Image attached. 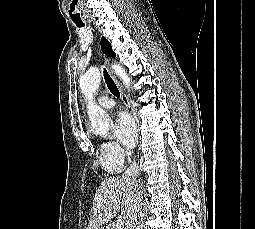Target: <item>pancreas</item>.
I'll return each instance as SVG.
<instances>
[{
	"mask_svg": "<svg viewBox=\"0 0 255 229\" xmlns=\"http://www.w3.org/2000/svg\"><path fill=\"white\" fill-rule=\"evenodd\" d=\"M110 229H117V227H116L115 225H112V226L110 227ZM121 229H124V228L122 227Z\"/></svg>",
	"mask_w": 255,
	"mask_h": 229,
	"instance_id": "1",
	"label": "pancreas"
}]
</instances>
